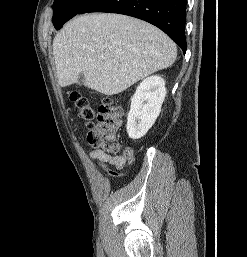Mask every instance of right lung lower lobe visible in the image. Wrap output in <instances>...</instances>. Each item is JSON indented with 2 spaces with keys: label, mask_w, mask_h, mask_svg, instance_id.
I'll return each instance as SVG.
<instances>
[{
  "label": "right lung lower lobe",
  "mask_w": 247,
  "mask_h": 257,
  "mask_svg": "<svg viewBox=\"0 0 247 257\" xmlns=\"http://www.w3.org/2000/svg\"><path fill=\"white\" fill-rule=\"evenodd\" d=\"M187 0H92L78 14L109 12L133 16L164 31L186 52Z\"/></svg>",
  "instance_id": "right-lung-lower-lobe-1"
}]
</instances>
